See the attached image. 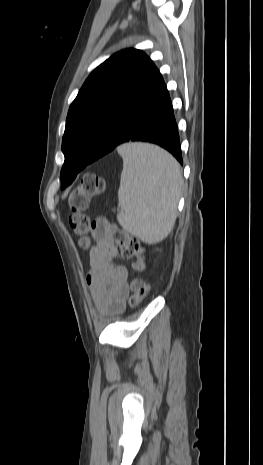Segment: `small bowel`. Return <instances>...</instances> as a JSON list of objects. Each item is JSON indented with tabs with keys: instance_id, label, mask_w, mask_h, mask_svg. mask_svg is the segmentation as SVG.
Instances as JSON below:
<instances>
[{
	"instance_id": "1",
	"label": "small bowel",
	"mask_w": 263,
	"mask_h": 465,
	"mask_svg": "<svg viewBox=\"0 0 263 465\" xmlns=\"http://www.w3.org/2000/svg\"><path fill=\"white\" fill-rule=\"evenodd\" d=\"M95 246L90 250V271L86 282L95 306L103 315L120 313L128 296L127 270L114 260L118 249L107 228H97Z\"/></svg>"
}]
</instances>
